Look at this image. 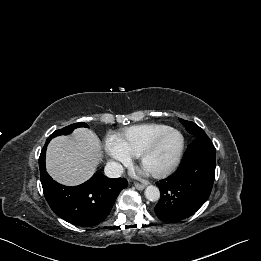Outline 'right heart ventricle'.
I'll list each match as a JSON object with an SVG mask.
<instances>
[{"label":"right heart ventricle","mask_w":261,"mask_h":261,"mask_svg":"<svg viewBox=\"0 0 261 261\" xmlns=\"http://www.w3.org/2000/svg\"><path fill=\"white\" fill-rule=\"evenodd\" d=\"M168 128L167 125L157 123L134 125L115 138L130 157H138L154 137Z\"/></svg>","instance_id":"right-heart-ventricle-1"}]
</instances>
